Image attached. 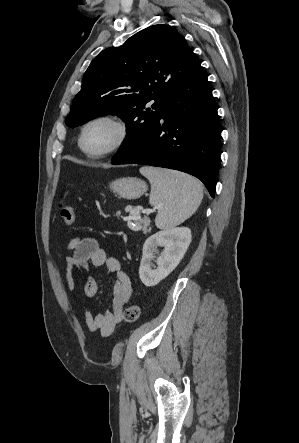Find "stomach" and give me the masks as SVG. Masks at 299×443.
<instances>
[{
  "instance_id": "1",
  "label": "stomach",
  "mask_w": 299,
  "mask_h": 443,
  "mask_svg": "<svg viewBox=\"0 0 299 443\" xmlns=\"http://www.w3.org/2000/svg\"><path fill=\"white\" fill-rule=\"evenodd\" d=\"M110 189L122 198L137 199L148 190V186L139 178L127 177L111 182Z\"/></svg>"
}]
</instances>
